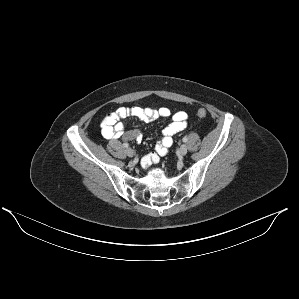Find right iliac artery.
I'll use <instances>...</instances> for the list:
<instances>
[{"label": "right iliac artery", "mask_w": 299, "mask_h": 299, "mask_svg": "<svg viewBox=\"0 0 299 299\" xmlns=\"http://www.w3.org/2000/svg\"><path fill=\"white\" fill-rule=\"evenodd\" d=\"M123 146L125 147V148H128L129 147V144L128 143H123Z\"/></svg>", "instance_id": "1"}]
</instances>
